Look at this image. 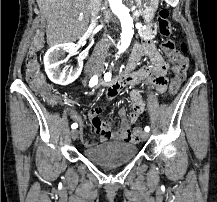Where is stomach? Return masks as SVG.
Returning a JSON list of instances; mask_svg holds the SVG:
<instances>
[{
  "mask_svg": "<svg viewBox=\"0 0 217 202\" xmlns=\"http://www.w3.org/2000/svg\"><path fill=\"white\" fill-rule=\"evenodd\" d=\"M135 2H137V6L141 12L144 22H146V24H150L159 6V0H135Z\"/></svg>",
  "mask_w": 217,
  "mask_h": 202,
  "instance_id": "1",
  "label": "stomach"
}]
</instances>
